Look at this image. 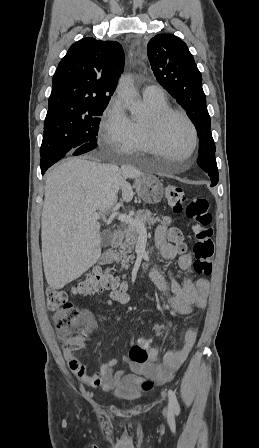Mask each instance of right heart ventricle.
Here are the masks:
<instances>
[{
  "instance_id": "right-heart-ventricle-1",
  "label": "right heart ventricle",
  "mask_w": 259,
  "mask_h": 448,
  "mask_svg": "<svg viewBox=\"0 0 259 448\" xmlns=\"http://www.w3.org/2000/svg\"><path fill=\"white\" fill-rule=\"evenodd\" d=\"M143 100L145 104L148 106L150 113L158 112L163 109L169 108V104L166 98L156 100V99H149L143 96ZM127 119L130 123V127L133 134V146H132L133 151L124 161L128 163H137L138 155L140 154V152L150 150L144 130V121L146 119L138 121L128 116Z\"/></svg>"
}]
</instances>
